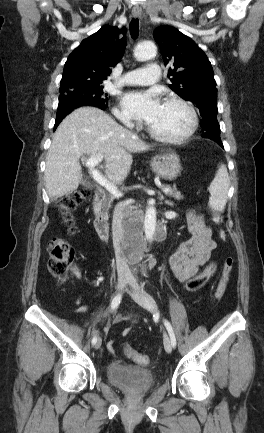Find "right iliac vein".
Listing matches in <instances>:
<instances>
[{"label": "right iliac vein", "mask_w": 264, "mask_h": 433, "mask_svg": "<svg viewBox=\"0 0 264 433\" xmlns=\"http://www.w3.org/2000/svg\"><path fill=\"white\" fill-rule=\"evenodd\" d=\"M127 283H129V280L127 278H119L118 280V291L121 292L127 285ZM102 344V340L101 338H99L95 344V349H99L101 347Z\"/></svg>", "instance_id": "1"}]
</instances>
